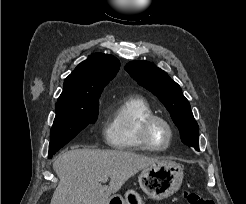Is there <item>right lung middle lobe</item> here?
Masks as SVG:
<instances>
[{"instance_id":"1","label":"right lung middle lobe","mask_w":246,"mask_h":204,"mask_svg":"<svg viewBox=\"0 0 246 204\" xmlns=\"http://www.w3.org/2000/svg\"><path fill=\"white\" fill-rule=\"evenodd\" d=\"M99 97L96 95L83 100L56 103V117L50 131L49 158L87 125L96 122Z\"/></svg>"}]
</instances>
